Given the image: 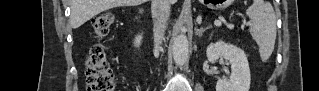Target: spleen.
<instances>
[{"label": "spleen", "instance_id": "obj_1", "mask_svg": "<svg viewBox=\"0 0 319 91\" xmlns=\"http://www.w3.org/2000/svg\"><path fill=\"white\" fill-rule=\"evenodd\" d=\"M252 26L250 32L259 47L262 62H266L273 50L276 40V16L272 5L263 0H254L247 9Z\"/></svg>", "mask_w": 319, "mask_h": 91}]
</instances>
